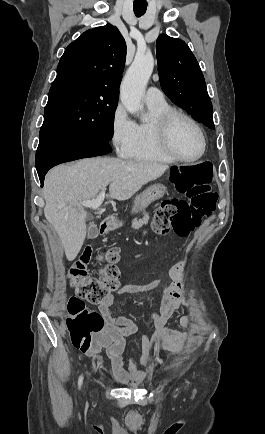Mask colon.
Returning a JSON list of instances; mask_svg holds the SVG:
<instances>
[{"mask_svg": "<svg viewBox=\"0 0 265 434\" xmlns=\"http://www.w3.org/2000/svg\"><path fill=\"white\" fill-rule=\"evenodd\" d=\"M211 164H172L169 174L176 177V189H185L188 199L167 198L154 214V227L159 236L175 234L187 237L198 229L204 217L210 216L218 201V194L212 188ZM93 252L84 254L80 261L69 269L68 280L75 293L68 295L66 311L69 326L64 327V334L69 335L71 347H89L91 335H96L105 321L101 314L87 309V303H107L118 289L120 270L116 265L119 249L114 247L96 256L102 265L98 277H91L87 272ZM78 299V300H77ZM83 331V332H80ZM177 354L171 350L168 354Z\"/></svg>", "mask_w": 265, "mask_h": 434, "instance_id": "5ec220e1", "label": "colon"}]
</instances>
